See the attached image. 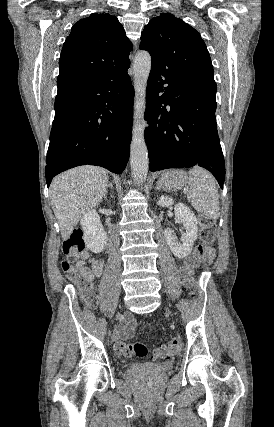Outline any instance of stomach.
Segmentation results:
<instances>
[{
	"mask_svg": "<svg viewBox=\"0 0 274 427\" xmlns=\"http://www.w3.org/2000/svg\"><path fill=\"white\" fill-rule=\"evenodd\" d=\"M186 180L187 176L183 170H169V172H162L158 186L163 190H181Z\"/></svg>",
	"mask_w": 274,
	"mask_h": 427,
	"instance_id": "1",
	"label": "stomach"
}]
</instances>
